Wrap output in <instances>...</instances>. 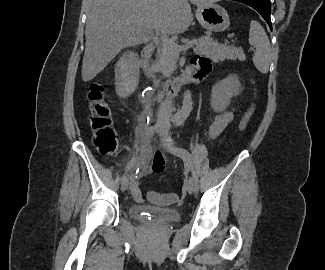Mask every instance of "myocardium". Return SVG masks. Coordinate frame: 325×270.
<instances>
[{
	"instance_id": "1",
	"label": "myocardium",
	"mask_w": 325,
	"mask_h": 270,
	"mask_svg": "<svg viewBox=\"0 0 325 270\" xmlns=\"http://www.w3.org/2000/svg\"><path fill=\"white\" fill-rule=\"evenodd\" d=\"M212 1H220V0H212Z\"/></svg>"
}]
</instances>
